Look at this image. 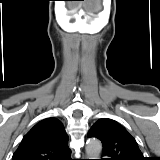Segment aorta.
<instances>
[{
    "label": "aorta",
    "instance_id": "obj_1",
    "mask_svg": "<svg viewBox=\"0 0 160 160\" xmlns=\"http://www.w3.org/2000/svg\"><path fill=\"white\" fill-rule=\"evenodd\" d=\"M102 151V144L98 139H89L86 145V153L89 159H99Z\"/></svg>",
    "mask_w": 160,
    "mask_h": 160
}]
</instances>
